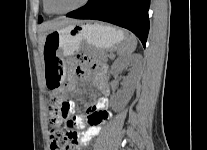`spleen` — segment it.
<instances>
[{"label":"spleen","instance_id":"obj_1","mask_svg":"<svg viewBox=\"0 0 207 150\" xmlns=\"http://www.w3.org/2000/svg\"><path fill=\"white\" fill-rule=\"evenodd\" d=\"M136 46H137V39L134 35L130 34V35H127L126 43L121 45L117 49V52H118L119 56L127 57V56H130L131 53L135 51Z\"/></svg>","mask_w":207,"mask_h":150}]
</instances>
